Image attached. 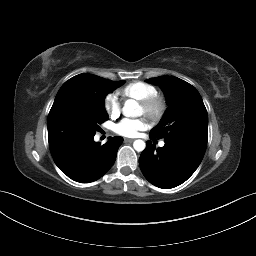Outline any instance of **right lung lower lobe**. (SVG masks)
<instances>
[{"label": "right lung lower lobe", "instance_id": "obj_1", "mask_svg": "<svg viewBox=\"0 0 256 256\" xmlns=\"http://www.w3.org/2000/svg\"><path fill=\"white\" fill-rule=\"evenodd\" d=\"M95 134L48 130L50 152L59 169L77 182H93L102 177L116 160L123 138L110 137L102 146L94 142Z\"/></svg>", "mask_w": 256, "mask_h": 256}]
</instances>
